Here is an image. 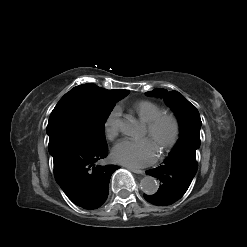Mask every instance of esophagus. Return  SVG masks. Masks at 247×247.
Returning a JSON list of instances; mask_svg holds the SVG:
<instances>
[{"mask_svg":"<svg viewBox=\"0 0 247 247\" xmlns=\"http://www.w3.org/2000/svg\"><path fill=\"white\" fill-rule=\"evenodd\" d=\"M131 172L136 173V174H144V171L135 169V168H128Z\"/></svg>","mask_w":247,"mask_h":247,"instance_id":"obj_1","label":"esophagus"}]
</instances>
